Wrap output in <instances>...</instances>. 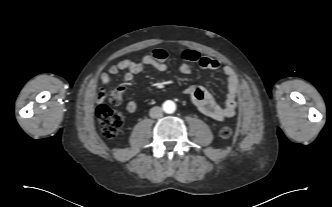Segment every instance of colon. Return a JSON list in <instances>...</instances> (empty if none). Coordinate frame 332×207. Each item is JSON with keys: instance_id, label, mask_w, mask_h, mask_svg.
<instances>
[{"instance_id": "5ec220e1", "label": "colon", "mask_w": 332, "mask_h": 207, "mask_svg": "<svg viewBox=\"0 0 332 207\" xmlns=\"http://www.w3.org/2000/svg\"><path fill=\"white\" fill-rule=\"evenodd\" d=\"M99 105L96 110L98 120L100 122V128L102 134L106 138H114L119 133L123 122V115L110 108L106 103L107 95L102 92L99 94ZM121 101V97L115 91L109 96V102L113 105H118ZM232 135V130L229 127H223L220 130V136L222 138H229Z\"/></svg>"}]
</instances>
